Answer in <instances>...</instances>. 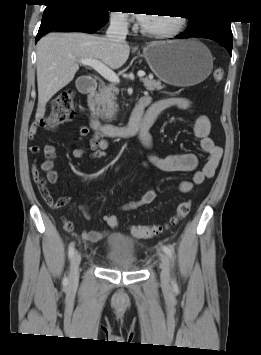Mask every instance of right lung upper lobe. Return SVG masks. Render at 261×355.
I'll return each mask as SVG.
<instances>
[{
	"label": "right lung upper lobe",
	"instance_id": "1",
	"mask_svg": "<svg viewBox=\"0 0 261 355\" xmlns=\"http://www.w3.org/2000/svg\"><path fill=\"white\" fill-rule=\"evenodd\" d=\"M47 3H61V2H75V3H79L81 1H84V0H46Z\"/></svg>",
	"mask_w": 261,
	"mask_h": 355
}]
</instances>
